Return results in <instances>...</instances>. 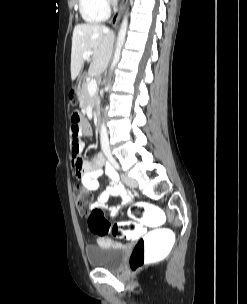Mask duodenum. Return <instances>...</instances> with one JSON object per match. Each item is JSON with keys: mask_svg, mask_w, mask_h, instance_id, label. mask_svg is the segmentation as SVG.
I'll return each mask as SVG.
<instances>
[{"mask_svg": "<svg viewBox=\"0 0 247 304\" xmlns=\"http://www.w3.org/2000/svg\"><path fill=\"white\" fill-rule=\"evenodd\" d=\"M83 83H85V78H80L78 81V87L79 89H82ZM95 123L98 125L96 128L99 130L101 127L100 124V117L98 115H95Z\"/></svg>", "mask_w": 247, "mask_h": 304, "instance_id": "obj_1", "label": "duodenum"}]
</instances>
